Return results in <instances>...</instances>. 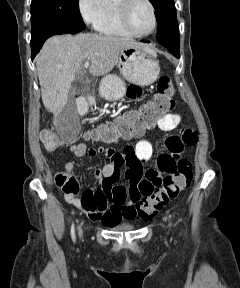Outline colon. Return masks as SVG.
<instances>
[{
	"label": "colon",
	"instance_id": "colon-1",
	"mask_svg": "<svg viewBox=\"0 0 240 288\" xmlns=\"http://www.w3.org/2000/svg\"><path fill=\"white\" fill-rule=\"evenodd\" d=\"M175 91L171 78L163 74L157 83L156 92L153 97L142 104L139 108L128 111L120 116L111 129H107L110 137L115 138L121 135L151 128L159 119L172 110L175 106ZM45 148L49 151L55 150L59 145L56 135L46 130L41 135ZM193 178V167L189 160L179 159L174 173L166 175L161 187L152 191L151 194L138 197L131 195L136 215L142 220L148 221L155 217L160 210L186 190ZM55 184L60 187L66 195L77 196L80 192L78 180L67 173H58L54 178Z\"/></svg>",
	"mask_w": 240,
	"mask_h": 288
}]
</instances>
